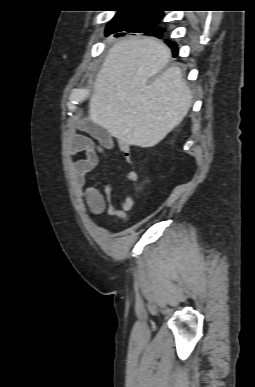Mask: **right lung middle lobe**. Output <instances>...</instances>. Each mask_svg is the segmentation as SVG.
Returning <instances> with one entry per match:
<instances>
[{"mask_svg":"<svg viewBox=\"0 0 255 387\" xmlns=\"http://www.w3.org/2000/svg\"><path fill=\"white\" fill-rule=\"evenodd\" d=\"M163 13L159 12H130L117 14L106 28V35L117 33L120 31L127 32H155L162 34L164 29L158 28L156 25L162 19ZM120 35V34H117Z\"/></svg>","mask_w":255,"mask_h":387,"instance_id":"dd1d6c3e","label":"right lung middle lobe"}]
</instances>
